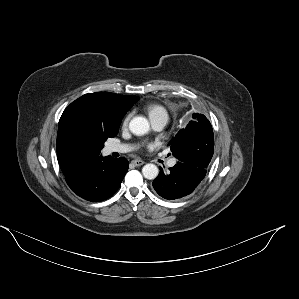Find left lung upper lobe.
Wrapping results in <instances>:
<instances>
[{
    "mask_svg": "<svg viewBox=\"0 0 299 299\" xmlns=\"http://www.w3.org/2000/svg\"><path fill=\"white\" fill-rule=\"evenodd\" d=\"M192 118L168 145L179 162L207 170L214 153L212 126L203 114L194 113Z\"/></svg>",
    "mask_w": 299,
    "mask_h": 299,
    "instance_id": "5c2ea615",
    "label": "left lung upper lobe"
}]
</instances>
